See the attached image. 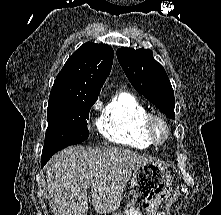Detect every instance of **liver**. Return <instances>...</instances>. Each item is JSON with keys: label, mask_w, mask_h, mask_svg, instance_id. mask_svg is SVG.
Masks as SVG:
<instances>
[{"label": "liver", "mask_w": 221, "mask_h": 215, "mask_svg": "<svg viewBox=\"0 0 221 215\" xmlns=\"http://www.w3.org/2000/svg\"><path fill=\"white\" fill-rule=\"evenodd\" d=\"M147 158L122 148H66L46 165L49 196L55 215H87L88 185L97 213L115 210L122 200L132 171Z\"/></svg>", "instance_id": "liver-1"}]
</instances>
